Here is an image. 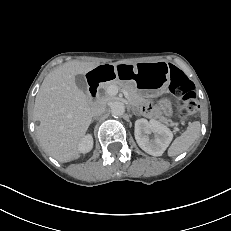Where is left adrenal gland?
I'll return each instance as SVG.
<instances>
[{
    "mask_svg": "<svg viewBox=\"0 0 231 231\" xmlns=\"http://www.w3.org/2000/svg\"><path fill=\"white\" fill-rule=\"evenodd\" d=\"M133 113H134L135 115H138V112H137V111H135L134 109H133Z\"/></svg>",
    "mask_w": 231,
    "mask_h": 231,
    "instance_id": "obj_1",
    "label": "left adrenal gland"
}]
</instances>
